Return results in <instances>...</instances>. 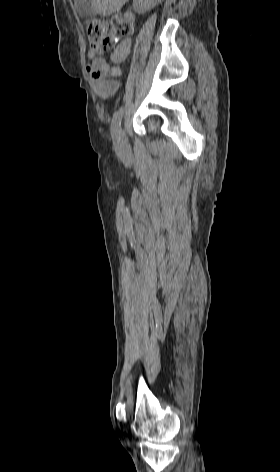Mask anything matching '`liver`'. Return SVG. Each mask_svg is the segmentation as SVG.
<instances>
[{
    "label": "liver",
    "instance_id": "obj_1",
    "mask_svg": "<svg viewBox=\"0 0 280 472\" xmlns=\"http://www.w3.org/2000/svg\"><path fill=\"white\" fill-rule=\"evenodd\" d=\"M127 0H92V6L96 14L103 17L119 12Z\"/></svg>",
    "mask_w": 280,
    "mask_h": 472
}]
</instances>
